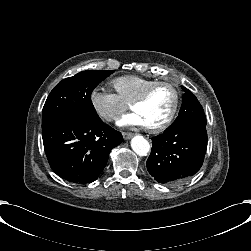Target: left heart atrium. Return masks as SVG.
I'll list each match as a JSON object with an SVG mask.
<instances>
[{
	"label": "left heart atrium",
	"mask_w": 251,
	"mask_h": 251,
	"mask_svg": "<svg viewBox=\"0 0 251 251\" xmlns=\"http://www.w3.org/2000/svg\"><path fill=\"white\" fill-rule=\"evenodd\" d=\"M117 125L120 127L146 126V121L140 111L133 110L130 113L122 115L118 119Z\"/></svg>",
	"instance_id": "left-heart-atrium-1"
}]
</instances>
